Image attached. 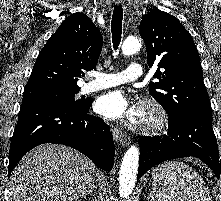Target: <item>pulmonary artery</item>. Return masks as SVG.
Listing matches in <instances>:
<instances>
[{
    "mask_svg": "<svg viewBox=\"0 0 221 201\" xmlns=\"http://www.w3.org/2000/svg\"><path fill=\"white\" fill-rule=\"evenodd\" d=\"M93 76L94 80L84 84L82 87L83 93H90L96 90L138 80L143 76V69L140 64L132 63L122 72L94 73Z\"/></svg>",
    "mask_w": 221,
    "mask_h": 201,
    "instance_id": "obj_1",
    "label": "pulmonary artery"
}]
</instances>
